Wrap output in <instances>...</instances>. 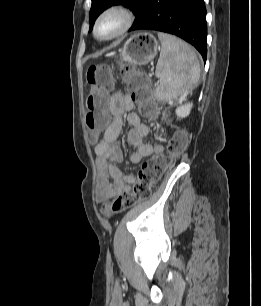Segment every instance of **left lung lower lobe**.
<instances>
[{"label":"left lung lower lobe","instance_id":"obj_1","mask_svg":"<svg viewBox=\"0 0 261 306\" xmlns=\"http://www.w3.org/2000/svg\"><path fill=\"white\" fill-rule=\"evenodd\" d=\"M150 29L181 37L207 57L203 0H146L129 31Z\"/></svg>","mask_w":261,"mask_h":306}]
</instances>
